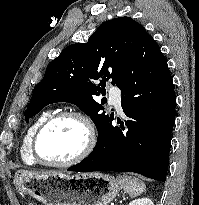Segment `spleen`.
<instances>
[{
    "mask_svg": "<svg viewBox=\"0 0 199 205\" xmlns=\"http://www.w3.org/2000/svg\"><path fill=\"white\" fill-rule=\"evenodd\" d=\"M118 181L125 192L131 197H137L146 190L145 183L133 176H118Z\"/></svg>",
    "mask_w": 199,
    "mask_h": 205,
    "instance_id": "spleen-1",
    "label": "spleen"
}]
</instances>
